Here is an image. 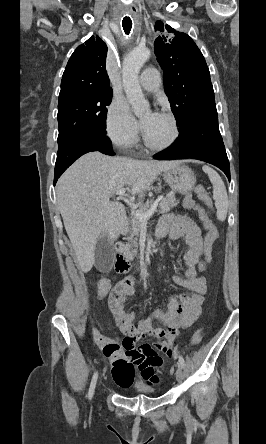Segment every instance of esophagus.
Masks as SVG:
<instances>
[{
    "label": "esophagus",
    "instance_id": "34e87169",
    "mask_svg": "<svg viewBox=\"0 0 266 444\" xmlns=\"http://www.w3.org/2000/svg\"><path fill=\"white\" fill-rule=\"evenodd\" d=\"M130 13L133 15V16H137L138 15V9H137V7L135 6V5H131V7H130Z\"/></svg>",
    "mask_w": 266,
    "mask_h": 444
}]
</instances>
